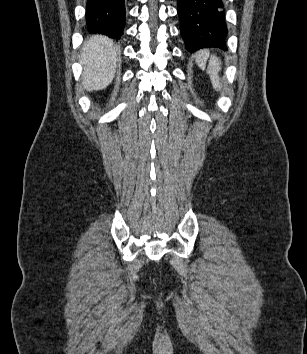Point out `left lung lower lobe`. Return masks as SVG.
<instances>
[{
  "mask_svg": "<svg viewBox=\"0 0 307 354\" xmlns=\"http://www.w3.org/2000/svg\"><path fill=\"white\" fill-rule=\"evenodd\" d=\"M180 31L188 51L224 48L227 37L223 0H177Z\"/></svg>",
  "mask_w": 307,
  "mask_h": 354,
  "instance_id": "0a47b994",
  "label": "left lung lower lobe"
}]
</instances>
